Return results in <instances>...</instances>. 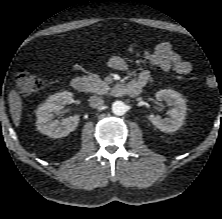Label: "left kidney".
I'll return each instance as SVG.
<instances>
[{"label": "left kidney", "mask_w": 222, "mask_h": 219, "mask_svg": "<svg viewBox=\"0 0 222 219\" xmlns=\"http://www.w3.org/2000/svg\"><path fill=\"white\" fill-rule=\"evenodd\" d=\"M156 99L158 101H166L170 106L169 115L170 118L162 119L160 116L151 115L148 119L152 124L161 131L171 133L177 131L184 122L186 115V102L182 98L181 94L171 90L163 89L156 93Z\"/></svg>", "instance_id": "1"}]
</instances>
